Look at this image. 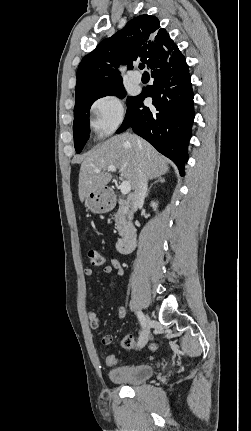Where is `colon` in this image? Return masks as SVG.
Masks as SVG:
<instances>
[{"mask_svg": "<svg viewBox=\"0 0 251 431\" xmlns=\"http://www.w3.org/2000/svg\"><path fill=\"white\" fill-rule=\"evenodd\" d=\"M87 254H88L89 261L93 266H103L106 262L105 256L94 248H89ZM138 345L139 344L134 340L132 336H126L122 340L121 348L122 350L125 351L130 348H136L138 347ZM157 347H158L157 343H151L149 345V348L152 351L156 350ZM104 360L107 368L109 369L110 368L112 369L114 368V366H117L120 363H122V360L119 359V356L117 355V353H106L104 355Z\"/></svg>", "mask_w": 251, "mask_h": 431, "instance_id": "colon-1", "label": "colon"}]
</instances>
